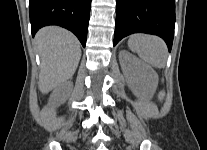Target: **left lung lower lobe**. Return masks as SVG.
<instances>
[{"mask_svg": "<svg viewBox=\"0 0 207 150\" xmlns=\"http://www.w3.org/2000/svg\"><path fill=\"white\" fill-rule=\"evenodd\" d=\"M174 25V0H116L113 45L127 35L142 32L163 38L170 51Z\"/></svg>", "mask_w": 207, "mask_h": 150, "instance_id": "left-lung-lower-lobe-1", "label": "left lung lower lobe"}]
</instances>
